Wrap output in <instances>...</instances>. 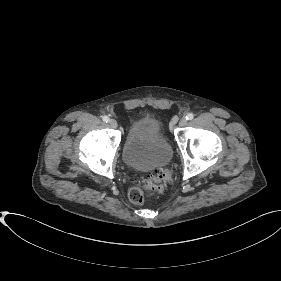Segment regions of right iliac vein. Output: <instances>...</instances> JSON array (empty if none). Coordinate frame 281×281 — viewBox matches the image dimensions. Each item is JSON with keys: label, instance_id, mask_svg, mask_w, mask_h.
I'll return each instance as SVG.
<instances>
[{"label": "right iliac vein", "instance_id": "right-iliac-vein-1", "mask_svg": "<svg viewBox=\"0 0 281 281\" xmlns=\"http://www.w3.org/2000/svg\"><path fill=\"white\" fill-rule=\"evenodd\" d=\"M109 125H110L111 128H117V126H118L117 121L114 120V119H111L109 121Z\"/></svg>", "mask_w": 281, "mask_h": 281}]
</instances>
